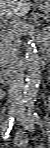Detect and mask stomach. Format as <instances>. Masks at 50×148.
I'll return each instance as SVG.
<instances>
[{"mask_svg":"<svg viewBox=\"0 0 50 148\" xmlns=\"http://www.w3.org/2000/svg\"><path fill=\"white\" fill-rule=\"evenodd\" d=\"M47 6H50V2H49V0H45V2H44Z\"/></svg>","mask_w":50,"mask_h":148,"instance_id":"1","label":"stomach"}]
</instances>
